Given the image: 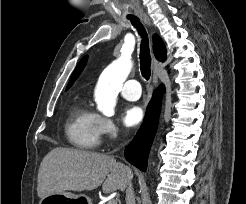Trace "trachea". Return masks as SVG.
<instances>
[{
  "label": "trachea",
  "mask_w": 246,
  "mask_h": 204,
  "mask_svg": "<svg viewBox=\"0 0 246 204\" xmlns=\"http://www.w3.org/2000/svg\"><path fill=\"white\" fill-rule=\"evenodd\" d=\"M130 21L132 25L138 30V33L142 38L140 48V70L142 76L148 81L151 75V55L147 32L145 31L143 25L138 18H131Z\"/></svg>",
  "instance_id": "1"
}]
</instances>
